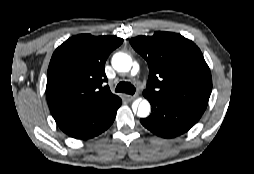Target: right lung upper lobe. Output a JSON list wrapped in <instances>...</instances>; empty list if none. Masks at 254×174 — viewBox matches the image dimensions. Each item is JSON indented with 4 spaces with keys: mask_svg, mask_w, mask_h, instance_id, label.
<instances>
[{
    "mask_svg": "<svg viewBox=\"0 0 254 174\" xmlns=\"http://www.w3.org/2000/svg\"><path fill=\"white\" fill-rule=\"evenodd\" d=\"M122 42L116 36L81 34L69 38L55 50L46 85L47 102L54 119L82 104L119 99L102 83L107 81L105 62Z\"/></svg>",
    "mask_w": 254,
    "mask_h": 174,
    "instance_id": "1",
    "label": "right lung upper lobe"
}]
</instances>
